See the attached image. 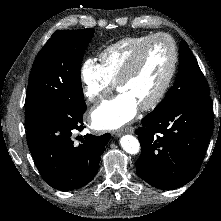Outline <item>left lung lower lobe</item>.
Returning <instances> with one entry per match:
<instances>
[{
	"label": "left lung lower lobe",
	"instance_id": "left-lung-lower-lobe-1",
	"mask_svg": "<svg viewBox=\"0 0 221 221\" xmlns=\"http://www.w3.org/2000/svg\"><path fill=\"white\" fill-rule=\"evenodd\" d=\"M214 127L210 96L179 98L142 119L136 130L138 175L163 190L182 187L198 173Z\"/></svg>",
	"mask_w": 221,
	"mask_h": 221
}]
</instances>
